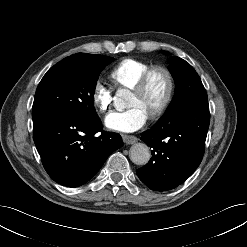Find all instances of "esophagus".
Here are the masks:
<instances>
[{
  "label": "esophagus",
  "mask_w": 247,
  "mask_h": 247,
  "mask_svg": "<svg viewBox=\"0 0 247 247\" xmlns=\"http://www.w3.org/2000/svg\"><path fill=\"white\" fill-rule=\"evenodd\" d=\"M122 138L126 144H133V143L138 141V138L136 136H133V135L124 134V135H122Z\"/></svg>",
  "instance_id": "1"
}]
</instances>
